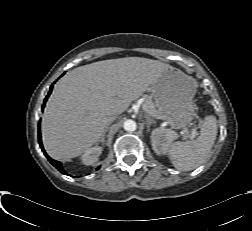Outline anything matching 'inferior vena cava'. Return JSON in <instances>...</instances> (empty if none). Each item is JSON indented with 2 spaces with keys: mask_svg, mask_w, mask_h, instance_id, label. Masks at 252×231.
Wrapping results in <instances>:
<instances>
[{
  "mask_svg": "<svg viewBox=\"0 0 252 231\" xmlns=\"http://www.w3.org/2000/svg\"><path fill=\"white\" fill-rule=\"evenodd\" d=\"M117 117H118V115H116V114H112V115L108 116L106 119L107 124H111L114 120H116Z\"/></svg>",
  "mask_w": 252,
  "mask_h": 231,
  "instance_id": "1",
  "label": "inferior vena cava"
}]
</instances>
